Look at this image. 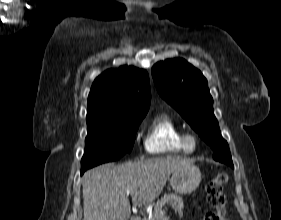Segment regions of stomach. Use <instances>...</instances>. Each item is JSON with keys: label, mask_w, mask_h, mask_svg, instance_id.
<instances>
[{"label": "stomach", "mask_w": 281, "mask_h": 220, "mask_svg": "<svg viewBox=\"0 0 281 220\" xmlns=\"http://www.w3.org/2000/svg\"><path fill=\"white\" fill-rule=\"evenodd\" d=\"M201 182V172L195 165H190L172 173L170 184L173 190L179 194L193 192Z\"/></svg>", "instance_id": "0dacf381"}]
</instances>
